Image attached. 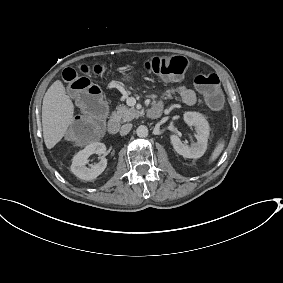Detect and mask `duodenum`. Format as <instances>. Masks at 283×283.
Returning a JSON list of instances; mask_svg holds the SVG:
<instances>
[{"label":"duodenum","instance_id":"1","mask_svg":"<svg viewBox=\"0 0 283 283\" xmlns=\"http://www.w3.org/2000/svg\"><path fill=\"white\" fill-rule=\"evenodd\" d=\"M163 109L160 104L151 106L147 112L146 116L151 119H157L162 115ZM119 130V123L116 120H110L107 123V131L110 135H115Z\"/></svg>","mask_w":283,"mask_h":283}]
</instances>
